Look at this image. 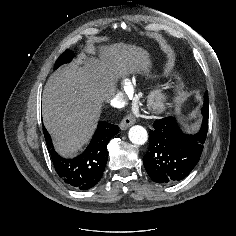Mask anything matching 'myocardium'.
Returning a JSON list of instances; mask_svg holds the SVG:
<instances>
[{"mask_svg":"<svg viewBox=\"0 0 236 236\" xmlns=\"http://www.w3.org/2000/svg\"><path fill=\"white\" fill-rule=\"evenodd\" d=\"M146 102L150 111L160 113L168 107L169 96L161 90H154L147 95Z\"/></svg>","mask_w":236,"mask_h":236,"instance_id":"f54148a6","label":"myocardium"}]
</instances>
